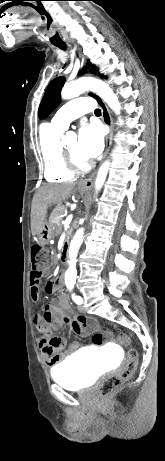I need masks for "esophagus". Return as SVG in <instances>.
Listing matches in <instances>:
<instances>
[{
  "mask_svg": "<svg viewBox=\"0 0 165 461\" xmlns=\"http://www.w3.org/2000/svg\"><path fill=\"white\" fill-rule=\"evenodd\" d=\"M97 99H98L99 102L102 101L101 106H102L103 121L109 127V134H108V136L106 138V147H105V152H104V156H103V158H104L107 155V153L109 151V148L111 146L114 129H113L112 118H111V115H110V112H109V109H108L107 105L104 103L103 100L99 99L98 97H97ZM95 175H96V173H93L88 178L81 180L78 185L80 187H82V188H87V189L92 188V186L94 184Z\"/></svg>",
  "mask_w": 165,
  "mask_h": 461,
  "instance_id": "34e87169",
  "label": "esophagus"
}]
</instances>
